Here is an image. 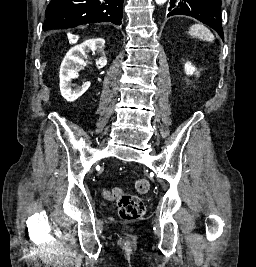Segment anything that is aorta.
<instances>
[{
	"instance_id": "aorta-1",
	"label": "aorta",
	"mask_w": 256,
	"mask_h": 267,
	"mask_svg": "<svg viewBox=\"0 0 256 267\" xmlns=\"http://www.w3.org/2000/svg\"><path fill=\"white\" fill-rule=\"evenodd\" d=\"M156 4H158V6H162V4H165V2H167V0H155Z\"/></svg>"
}]
</instances>
